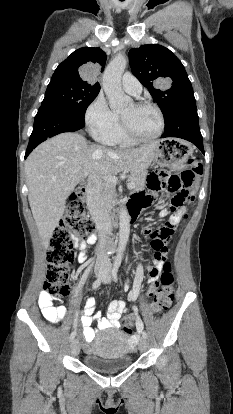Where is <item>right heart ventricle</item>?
Returning <instances> with one entry per match:
<instances>
[{
	"label": "right heart ventricle",
	"mask_w": 233,
	"mask_h": 414,
	"mask_svg": "<svg viewBox=\"0 0 233 414\" xmlns=\"http://www.w3.org/2000/svg\"><path fill=\"white\" fill-rule=\"evenodd\" d=\"M111 145H118L120 147H130L135 144L133 140L128 138L126 134L123 132L119 117L117 116V122L112 134L111 141L109 142Z\"/></svg>",
	"instance_id": "1"
}]
</instances>
